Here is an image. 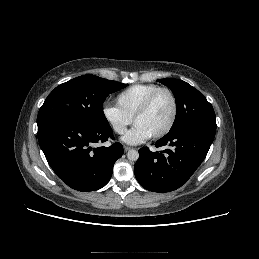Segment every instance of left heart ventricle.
Masks as SVG:
<instances>
[{"label": "left heart ventricle", "mask_w": 259, "mask_h": 259, "mask_svg": "<svg viewBox=\"0 0 259 259\" xmlns=\"http://www.w3.org/2000/svg\"><path fill=\"white\" fill-rule=\"evenodd\" d=\"M173 112V104L167 93H160L153 101L146 114L135 122L151 136L161 131L170 121Z\"/></svg>", "instance_id": "1"}]
</instances>
